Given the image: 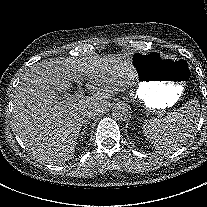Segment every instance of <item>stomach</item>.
<instances>
[{
	"label": "stomach",
	"instance_id": "obj_1",
	"mask_svg": "<svg viewBox=\"0 0 207 207\" xmlns=\"http://www.w3.org/2000/svg\"><path fill=\"white\" fill-rule=\"evenodd\" d=\"M131 62L140 78L136 98L147 111L174 106L191 76L185 60L166 58L162 53H135Z\"/></svg>",
	"mask_w": 207,
	"mask_h": 207
}]
</instances>
